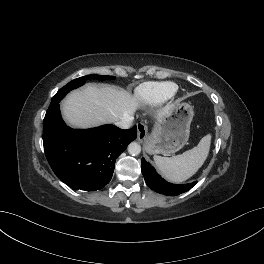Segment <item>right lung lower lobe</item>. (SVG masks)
Here are the masks:
<instances>
[{"label":"right lung lower lobe","instance_id":"98d812e1","mask_svg":"<svg viewBox=\"0 0 264 264\" xmlns=\"http://www.w3.org/2000/svg\"><path fill=\"white\" fill-rule=\"evenodd\" d=\"M136 137V126L128 130L114 125L71 129L61 118L59 102L49 107L43 123L44 150L52 170L65 184L81 191L107 185L116 158Z\"/></svg>","mask_w":264,"mask_h":264}]
</instances>
